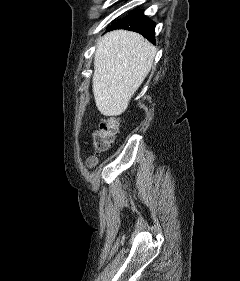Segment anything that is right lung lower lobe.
Returning a JSON list of instances; mask_svg holds the SVG:
<instances>
[{"mask_svg":"<svg viewBox=\"0 0 240 281\" xmlns=\"http://www.w3.org/2000/svg\"><path fill=\"white\" fill-rule=\"evenodd\" d=\"M112 29L135 31L142 34L149 41L155 42V23L143 14V10L130 13L127 17L110 27V30Z\"/></svg>","mask_w":240,"mask_h":281,"instance_id":"98d812e1","label":"right lung lower lobe"}]
</instances>
